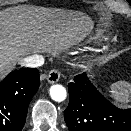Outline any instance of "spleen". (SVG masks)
Masks as SVG:
<instances>
[{
    "mask_svg": "<svg viewBox=\"0 0 131 131\" xmlns=\"http://www.w3.org/2000/svg\"><path fill=\"white\" fill-rule=\"evenodd\" d=\"M129 88L130 84H128L126 81H118L113 83L111 87L114 98L120 101L123 100V92L128 91Z\"/></svg>",
    "mask_w": 131,
    "mask_h": 131,
    "instance_id": "spleen-1",
    "label": "spleen"
}]
</instances>
